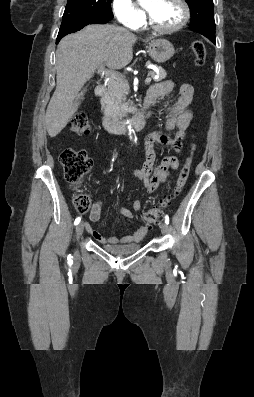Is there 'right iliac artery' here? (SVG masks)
Masks as SVG:
<instances>
[{
	"label": "right iliac artery",
	"mask_w": 254,
	"mask_h": 397,
	"mask_svg": "<svg viewBox=\"0 0 254 397\" xmlns=\"http://www.w3.org/2000/svg\"><path fill=\"white\" fill-rule=\"evenodd\" d=\"M80 220H81V218H80V217H77V218L75 219V221H74V225L79 224ZM68 260H70V256L68 257Z\"/></svg>",
	"instance_id": "1"
}]
</instances>
